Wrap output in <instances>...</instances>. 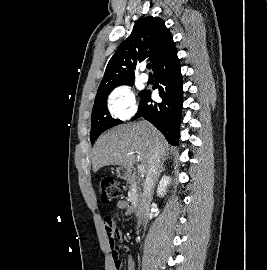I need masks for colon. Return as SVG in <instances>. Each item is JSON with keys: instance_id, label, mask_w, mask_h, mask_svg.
Returning <instances> with one entry per match:
<instances>
[{"instance_id": "obj_1", "label": "colon", "mask_w": 267, "mask_h": 270, "mask_svg": "<svg viewBox=\"0 0 267 270\" xmlns=\"http://www.w3.org/2000/svg\"><path fill=\"white\" fill-rule=\"evenodd\" d=\"M97 187L100 194V200L105 204L118 198L121 194L120 187L117 185L116 181L109 176L99 178L97 181ZM115 266L116 270L121 269V261L119 258H116Z\"/></svg>"}]
</instances>
